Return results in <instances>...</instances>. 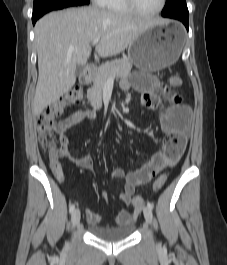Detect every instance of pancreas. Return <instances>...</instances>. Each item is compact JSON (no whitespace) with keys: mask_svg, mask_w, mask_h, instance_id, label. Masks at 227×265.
Instances as JSON below:
<instances>
[{"mask_svg":"<svg viewBox=\"0 0 227 265\" xmlns=\"http://www.w3.org/2000/svg\"><path fill=\"white\" fill-rule=\"evenodd\" d=\"M132 69V63L127 58L115 59L107 61L96 69L93 86L88 91V98L92 103H101L102 90L106 81L113 77H125Z\"/></svg>","mask_w":227,"mask_h":265,"instance_id":"1","label":"pancreas"}]
</instances>
